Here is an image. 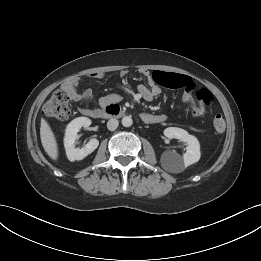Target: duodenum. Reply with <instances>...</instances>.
I'll return each instance as SVG.
<instances>
[{
  "label": "duodenum",
  "instance_id": "410a0bca",
  "mask_svg": "<svg viewBox=\"0 0 261 261\" xmlns=\"http://www.w3.org/2000/svg\"><path fill=\"white\" fill-rule=\"evenodd\" d=\"M123 114L122 109L118 104L110 103L106 105L102 110H95L90 113L89 116L99 118V117H115ZM143 121L149 122L147 116H142Z\"/></svg>",
  "mask_w": 261,
  "mask_h": 261
}]
</instances>
